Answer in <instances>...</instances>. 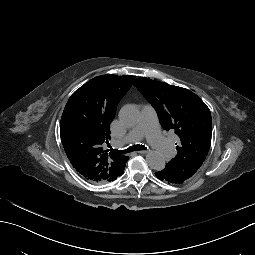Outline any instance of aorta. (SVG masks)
Wrapping results in <instances>:
<instances>
[{
    "label": "aorta",
    "instance_id": "obj_1",
    "mask_svg": "<svg viewBox=\"0 0 255 255\" xmlns=\"http://www.w3.org/2000/svg\"><path fill=\"white\" fill-rule=\"evenodd\" d=\"M139 117V109L132 104L123 106L119 112L120 120L128 126L135 125L139 121ZM146 161L149 167L153 170L160 171L165 167L164 156L155 150H151L147 153Z\"/></svg>",
    "mask_w": 255,
    "mask_h": 255
}]
</instances>
